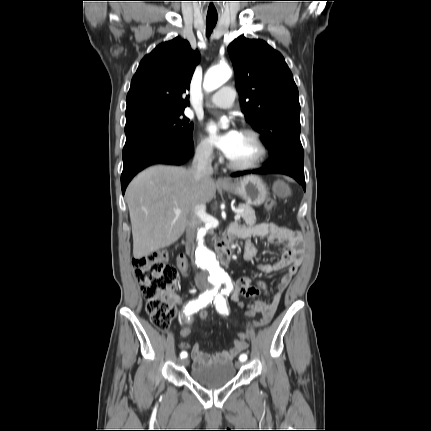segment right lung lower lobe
<instances>
[{"instance_id":"1","label":"right lung lower lobe","mask_w":431,"mask_h":431,"mask_svg":"<svg viewBox=\"0 0 431 431\" xmlns=\"http://www.w3.org/2000/svg\"><path fill=\"white\" fill-rule=\"evenodd\" d=\"M193 152L192 139L160 130H149L126 138L122 153V193L131 179L144 168L158 163L182 165Z\"/></svg>"}]
</instances>
